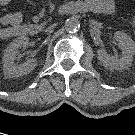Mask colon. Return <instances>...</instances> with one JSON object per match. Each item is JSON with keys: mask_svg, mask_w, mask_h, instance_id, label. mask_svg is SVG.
I'll return each instance as SVG.
<instances>
[{"mask_svg": "<svg viewBox=\"0 0 135 135\" xmlns=\"http://www.w3.org/2000/svg\"><path fill=\"white\" fill-rule=\"evenodd\" d=\"M135 14V13H134ZM130 24L135 32V15L132 14V18H131V21H130Z\"/></svg>", "mask_w": 135, "mask_h": 135, "instance_id": "1", "label": "colon"}]
</instances>
